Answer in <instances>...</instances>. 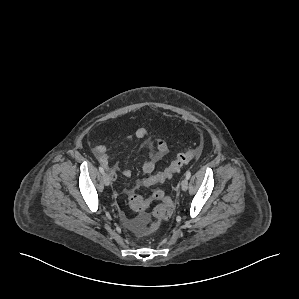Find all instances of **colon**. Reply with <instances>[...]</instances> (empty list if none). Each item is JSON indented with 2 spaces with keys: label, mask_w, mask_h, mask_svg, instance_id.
I'll return each instance as SVG.
<instances>
[{
  "label": "colon",
  "mask_w": 299,
  "mask_h": 299,
  "mask_svg": "<svg viewBox=\"0 0 299 299\" xmlns=\"http://www.w3.org/2000/svg\"><path fill=\"white\" fill-rule=\"evenodd\" d=\"M199 154V148H192L179 153L167 168L157 172L154 175L142 179L137 184L136 188L152 187L156 184L166 181L167 179L171 178L174 173L178 172L184 165L196 158ZM150 200L161 201V203L154 209V216L157 220L147 228H139L137 230L139 235H148L156 231L162 221L171 217L174 210V204L172 200L162 190H154L151 199H144L136 192V190H133L129 195V205L134 211L145 210L149 206Z\"/></svg>",
  "instance_id": "colon-1"
}]
</instances>
